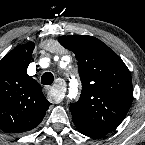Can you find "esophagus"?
<instances>
[{
	"instance_id": "34e87169",
	"label": "esophagus",
	"mask_w": 145,
	"mask_h": 145,
	"mask_svg": "<svg viewBox=\"0 0 145 145\" xmlns=\"http://www.w3.org/2000/svg\"><path fill=\"white\" fill-rule=\"evenodd\" d=\"M46 90L48 91L49 98L53 102L60 103L63 100V92L61 89L57 88L56 85L53 87H46Z\"/></svg>"
}]
</instances>
